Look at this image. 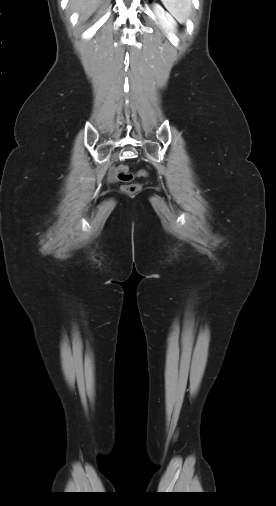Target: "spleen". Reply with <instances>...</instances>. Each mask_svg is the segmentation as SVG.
<instances>
[{"label": "spleen", "mask_w": 276, "mask_h": 506, "mask_svg": "<svg viewBox=\"0 0 276 506\" xmlns=\"http://www.w3.org/2000/svg\"><path fill=\"white\" fill-rule=\"evenodd\" d=\"M166 9L180 23H185L191 12V0H161Z\"/></svg>", "instance_id": "3e777b00"}]
</instances>
